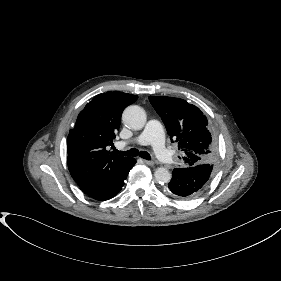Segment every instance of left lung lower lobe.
Returning a JSON list of instances; mask_svg holds the SVG:
<instances>
[{
  "instance_id": "0a47b994",
  "label": "left lung lower lobe",
  "mask_w": 281,
  "mask_h": 281,
  "mask_svg": "<svg viewBox=\"0 0 281 281\" xmlns=\"http://www.w3.org/2000/svg\"><path fill=\"white\" fill-rule=\"evenodd\" d=\"M213 164H199L192 167L175 168L168 184L169 191L176 197L189 199L199 194L209 182Z\"/></svg>"
}]
</instances>
